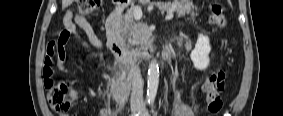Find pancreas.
Returning <instances> with one entry per match:
<instances>
[{"mask_svg": "<svg viewBox=\"0 0 283 116\" xmlns=\"http://www.w3.org/2000/svg\"><path fill=\"white\" fill-rule=\"evenodd\" d=\"M161 10L170 11L173 10L177 13L178 17L184 16L185 14H191L195 16L194 6L190 1L186 0H175L171 2L153 3ZM197 10V8H195ZM114 35L122 42L128 41L133 46H139L142 43L140 24L134 20L133 8L129 9L123 17L121 24L114 29Z\"/></svg>", "mask_w": 283, "mask_h": 116, "instance_id": "1", "label": "pancreas"}]
</instances>
